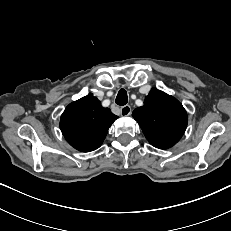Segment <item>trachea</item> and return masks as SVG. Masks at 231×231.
<instances>
[{"mask_svg": "<svg viewBox=\"0 0 231 231\" xmlns=\"http://www.w3.org/2000/svg\"><path fill=\"white\" fill-rule=\"evenodd\" d=\"M115 102H116V104H118L120 106H123V105L127 104V102H128V96H127L126 90L121 89L118 92Z\"/></svg>", "mask_w": 231, "mask_h": 231, "instance_id": "trachea-1", "label": "trachea"}]
</instances>
